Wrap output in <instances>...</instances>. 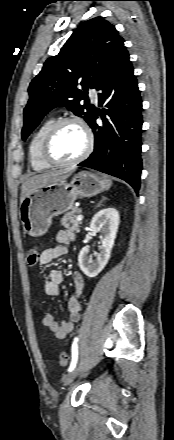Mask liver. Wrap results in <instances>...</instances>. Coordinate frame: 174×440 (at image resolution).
<instances>
[{"label": "liver", "instance_id": "obj_1", "mask_svg": "<svg viewBox=\"0 0 174 440\" xmlns=\"http://www.w3.org/2000/svg\"><path fill=\"white\" fill-rule=\"evenodd\" d=\"M68 177L66 172L64 171H50L47 173L35 175L29 178L22 185L20 203L25 199L27 195H29L35 189L48 185L50 183L58 182L64 180Z\"/></svg>", "mask_w": 174, "mask_h": 440}]
</instances>
